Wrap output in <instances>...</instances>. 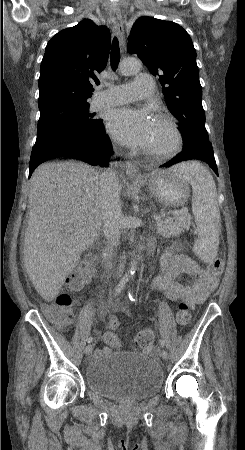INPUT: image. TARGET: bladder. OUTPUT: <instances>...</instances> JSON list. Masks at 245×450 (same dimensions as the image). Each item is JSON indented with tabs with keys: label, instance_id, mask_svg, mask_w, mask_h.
Returning <instances> with one entry per match:
<instances>
[{
	"label": "bladder",
	"instance_id": "1",
	"mask_svg": "<svg viewBox=\"0 0 245 450\" xmlns=\"http://www.w3.org/2000/svg\"><path fill=\"white\" fill-rule=\"evenodd\" d=\"M88 390L99 396L141 400L160 392L164 371L147 355L121 351L92 358L84 374Z\"/></svg>",
	"mask_w": 245,
	"mask_h": 450
}]
</instances>
